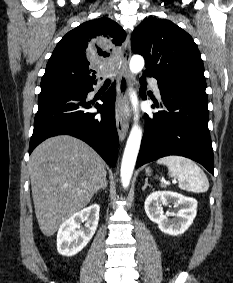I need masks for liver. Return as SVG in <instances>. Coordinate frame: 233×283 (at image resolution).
<instances>
[{"label": "liver", "instance_id": "6515ba94", "mask_svg": "<svg viewBox=\"0 0 233 283\" xmlns=\"http://www.w3.org/2000/svg\"><path fill=\"white\" fill-rule=\"evenodd\" d=\"M29 172L36 218L48 237L90 202L106 175L104 160L69 135L37 146L30 156Z\"/></svg>", "mask_w": 233, "mask_h": 283}]
</instances>
